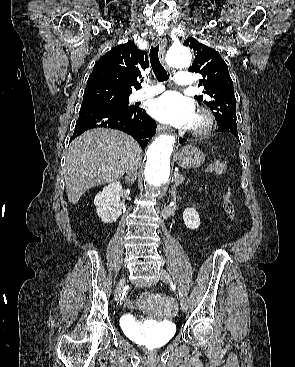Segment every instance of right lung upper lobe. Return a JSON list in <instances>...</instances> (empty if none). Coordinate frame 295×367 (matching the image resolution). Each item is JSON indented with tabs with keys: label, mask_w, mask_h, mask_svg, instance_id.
Segmentation results:
<instances>
[{
	"label": "right lung upper lobe",
	"mask_w": 295,
	"mask_h": 367,
	"mask_svg": "<svg viewBox=\"0 0 295 367\" xmlns=\"http://www.w3.org/2000/svg\"><path fill=\"white\" fill-rule=\"evenodd\" d=\"M149 66L147 53L139 50L133 41L120 44L102 56L89 76L86 89L101 87L121 95L138 88L141 69Z\"/></svg>",
	"instance_id": "obj_1"
}]
</instances>
